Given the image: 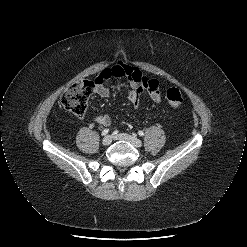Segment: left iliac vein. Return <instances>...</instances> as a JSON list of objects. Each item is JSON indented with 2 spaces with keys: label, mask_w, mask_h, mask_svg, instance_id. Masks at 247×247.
<instances>
[{
  "label": "left iliac vein",
  "mask_w": 247,
  "mask_h": 247,
  "mask_svg": "<svg viewBox=\"0 0 247 247\" xmlns=\"http://www.w3.org/2000/svg\"><path fill=\"white\" fill-rule=\"evenodd\" d=\"M115 139L129 142L135 147H141L142 146L141 140H139L135 136H132V135H129L126 133H120V134L116 135Z\"/></svg>",
  "instance_id": "left-iliac-vein-1"
}]
</instances>
